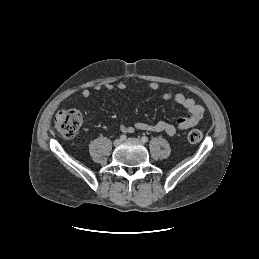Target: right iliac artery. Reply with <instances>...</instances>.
Listing matches in <instances>:
<instances>
[{
  "label": "right iliac artery",
  "mask_w": 259,
  "mask_h": 259,
  "mask_svg": "<svg viewBox=\"0 0 259 259\" xmlns=\"http://www.w3.org/2000/svg\"><path fill=\"white\" fill-rule=\"evenodd\" d=\"M120 139H121L122 141H124V140L127 139V136L123 134V135L120 136Z\"/></svg>",
  "instance_id": "obj_1"
}]
</instances>
